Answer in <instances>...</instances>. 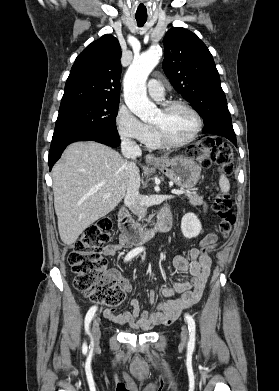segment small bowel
<instances>
[{"instance_id":"small-bowel-1","label":"small bowel","mask_w":279,"mask_h":391,"mask_svg":"<svg viewBox=\"0 0 279 391\" xmlns=\"http://www.w3.org/2000/svg\"><path fill=\"white\" fill-rule=\"evenodd\" d=\"M216 240L217 235L209 233L200 242L201 249L192 248L190 250L189 260L181 255L174 257V267L181 272L190 273L191 279L164 287L162 289L163 299L159 302L155 301V294L152 291L150 300L155 307V312H140L138 300L131 299L132 311L116 314L114 308H107L104 311L105 317L113 323L129 325L142 330H149L158 325L171 324L182 311L200 300L211 270V259L203 250L207 246L216 243ZM127 247L130 246L125 244L121 236L118 244L106 245L102 253L106 256H115ZM111 275L119 281L124 292L131 291V284L127 278L118 271H112ZM175 295H177L176 298H174Z\"/></svg>"}]
</instances>
